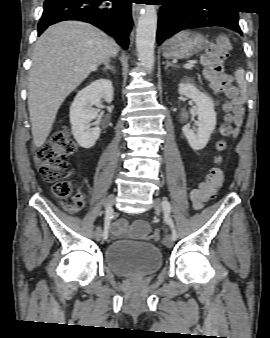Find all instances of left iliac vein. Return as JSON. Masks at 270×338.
<instances>
[{
    "label": "left iliac vein",
    "mask_w": 270,
    "mask_h": 338,
    "mask_svg": "<svg viewBox=\"0 0 270 338\" xmlns=\"http://www.w3.org/2000/svg\"><path fill=\"white\" fill-rule=\"evenodd\" d=\"M153 208L155 211L159 212L162 208V200L160 198H155L153 202ZM164 244L167 248H171L173 246V240L170 235H167L164 239Z\"/></svg>",
    "instance_id": "4c4485c4"
}]
</instances>
